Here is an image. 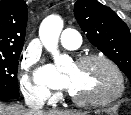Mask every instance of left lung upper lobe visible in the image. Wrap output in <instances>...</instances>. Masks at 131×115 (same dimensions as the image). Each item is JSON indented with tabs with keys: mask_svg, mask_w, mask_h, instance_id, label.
<instances>
[{
	"mask_svg": "<svg viewBox=\"0 0 131 115\" xmlns=\"http://www.w3.org/2000/svg\"><path fill=\"white\" fill-rule=\"evenodd\" d=\"M74 15L89 41L114 61L131 82V33L127 25L97 0H77Z\"/></svg>",
	"mask_w": 131,
	"mask_h": 115,
	"instance_id": "left-lung-upper-lobe-1",
	"label": "left lung upper lobe"
}]
</instances>
